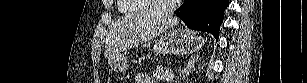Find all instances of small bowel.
Masks as SVG:
<instances>
[{
	"instance_id": "small-bowel-1",
	"label": "small bowel",
	"mask_w": 307,
	"mask_h": 83,
	"mask_svg": "<svg viewBox=\"0 0 307 83\" xmlns=\"http://www.w3.org/2000/svg\"><path fill=\"white\" fill-rule=\"evenodd\" d=\"M136 83H154V80L146 74H138L135 78Z\"/></svg>"
}]
</instances>
